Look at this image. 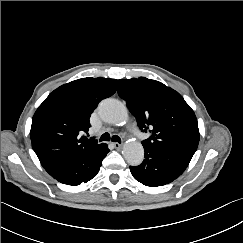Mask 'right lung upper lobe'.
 I'll list each match as a JSON object with an SVG mask.
<instances>
[{
	"mask_svg": "<svg viewBox=\"0 0 243 243\" xmlns=\"http://www.w3.org/2000/svg\"><path fill=\"white\" fill-rule=\"evenodd\" d=\"M116 89V79L88 77L64 84L49 94L36 110L30 131L32 147L42 166L106 145L98 144L85 133L98 103Z\"/></svg>",
	"mask_w": 243,
	"mask_h": 243,
	"instance_id": "obj_1",
	"label": "right lung upper lobe"
}]
</instances>
